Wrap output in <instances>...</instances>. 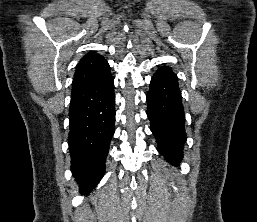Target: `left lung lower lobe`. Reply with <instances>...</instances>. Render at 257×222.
Masks as SVG:
<instances>
[{
  "mask_svg": "<svg viewBox=\"0 0 257 222\" xmlns=\"http://www.w3.org/2000/svg\"><path fill=\"white\" fill-rule=\"evenodd\" d=\"M147 104L158 152L172 165H178L186 142L185 115L178 78L170 67H160L153 75Z\"/></svg>",
  "mask_w": 257,
  "mask_h": 222,
  "instance_id": "left-lung-lower-lobe-1",
  "label": "left lung lower lobe"
}]
</instances>
